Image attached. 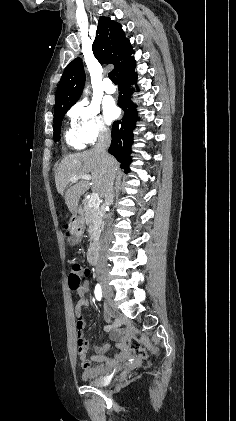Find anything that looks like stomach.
<instances>
[{"mask_svg": "<svg viewBox=\"0 0 236 421\" xmlns=\"http://www.w3.org/2000/svg\"><path fill=\"white\" fill-rule=\"evenodd\" d=\"M78 223H80V225H82L83 223V215L82 213H77V217H76Z\"/></svg>", "mask_w": 236, "mask_h": 421, "instance_id": "0dacf381", "label": "stomach"}]
</instances>
